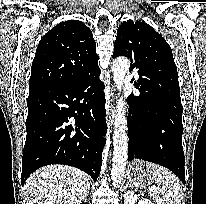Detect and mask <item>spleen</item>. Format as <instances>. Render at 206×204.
I'll list each match as a JSON object with an SVG mask.
<instances>
[{"label":"spleen","instance_id":"spleen-1","mask_svg":"<svg viewBox=\"0 0 206 204\" xmlns=\"http://www.w3.org/2000/svg\"><path fill=\"white\" fill-rule=\"evenodd\" d=\"M155 183L149 194L157 204H181L182 188L179 179L165 167L154 165Z\"/></svg>","mask_w":206,"mask_h":204}]
</instances>
